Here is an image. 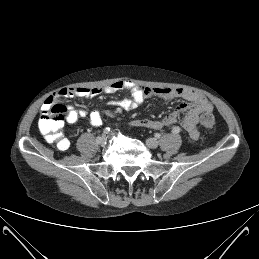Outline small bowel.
Masks as SVG:
<instances>
[{"instance_id":"obj_1","label":"small bowel","mask_w":259,"mask_h":259,"mask_svg":"<svg viewBox=\"0 0 259 259\" xmlns=\"http://www.w3.org/2000/svg\"><path fill=\"white\" fill-rule=\"evenodd\" d=\"M125 90L130 94L129 99L112 100L109 106L117 107L126 111L138 108L144 101L152 96H159L164 99L181 98L184 100L177 109L160 120L136 119L130 125L133 127H145L160 130L169 126L182 128L192 139L199 137L198 120L201 114L210 113L213 110L212 104L200 92L190 89L167 88V87H146L131 81H118L102 88H62L54 95L50 96L42 105V109L48 107L51 102L63 98H92L101 94H114ZM184 115L182 119L180 117ZM88 118L91 125L97 127L103 122V113L100 110L88 111L86 109H76L73 106L67 107L66 121L74 124L80 119ZM64 150V149H61Z\"/></svg>"}]
</instances>
